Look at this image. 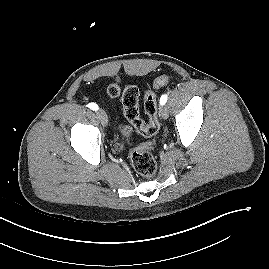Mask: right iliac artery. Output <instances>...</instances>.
Here are the masks:
<instances>
[{
	"label": "right iliac artery",
	"instance_id": "right-iliac-artery-1",
	"mask_svg": "<svg viewBox=\"0 0 269 269\" xmlns=\"http://www.w3.org/2000/svg\"><path fill=\"white\" fill-rule=\"evenodd\" d=\"M88 107L94 111L98 110V105L96 103H89Z\"/></svg>",
	"mask_w": 269,
	"mask_h": 269
}]
</instances>
